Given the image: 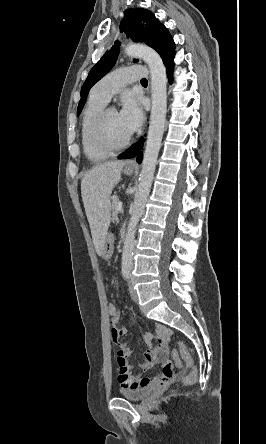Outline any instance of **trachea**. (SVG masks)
<instances>
[{"label":"trachea","mask_w":266,"mask_h":444,"mask_svg":"<svg viewBox=\"0 0 266 444\" xmlns=\"http://www.w3.org/2000/svg\"><path fill=\"white\" fill-rule=\"evenodd\" d=\"M141 82H142V83H143V82L147 83V79H146V78H143V79H141Z\"/></svg>","instance_id":"trachea-1"}]
</instances>
